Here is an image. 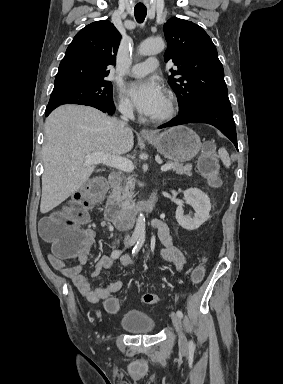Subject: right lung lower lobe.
Returning <instances> with one entry per match:
<instances>
[{
    "instance_id": "1",
    "label": "right lung lower lobe",
    "mask_w": 283,
    "mask_h": 384,
    "mask_svg": "<svg viewBox=\"0 0 283 384\" xmlns=\"http://www.w3.org/2000/svg\"><path fill=\"white\" fill-rule=\"evenodd\" d=\"M84 105H88V106H92V107H95L103 112H107L109 113L110 115H112L115 111V106H114V103L111 102V103H101V104H97V103H89V104H84ZM55 108L54 107H47L46 108V111H45V115L48 116Z\"/></svg>"
}]
</instances>
